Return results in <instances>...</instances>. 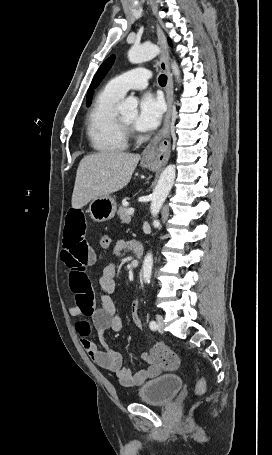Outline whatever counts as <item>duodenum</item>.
<instances>
[{
	"mask_svg": "<svg viewBox=\"0 0 272 455\" xmlns=\"http://www.w3.org/2000/svg\"><path fill=\"white\" fill-rule=\"evenodd\" d=\"M130 248L137 258H141L143 255V247L138 241H131Z\"/></svg>",
	"mask_w": 272,
	"mask_h": 455,
	"instance_id": "410a0bca",
	"label": "duodenum"
}]
</instances>
